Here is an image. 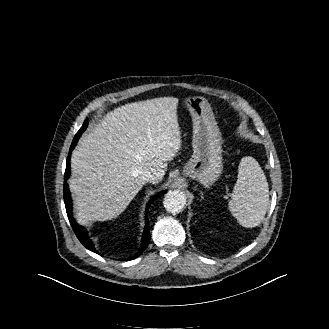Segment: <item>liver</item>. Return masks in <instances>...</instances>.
I'll list each match as a JSON object with an SVG mask.
<instances>
[{
    "mask_svg": "<svg viewBox=\"0 0 329 329\" xmlns=\"http://www.w3.org/2000/svg\"><path fill=\"white\" fill-rule=\"evenodd\" d=\"M178 98L160 97L115 108L78 142L69 188L79 222L119 216L150 170L160 182L181 147Z\"/></svg>",
    "mask_w": 329,
    "mask_h": 329,
    "instance_id": "obj_1",
    "label": "liver"
}]
</instances>
